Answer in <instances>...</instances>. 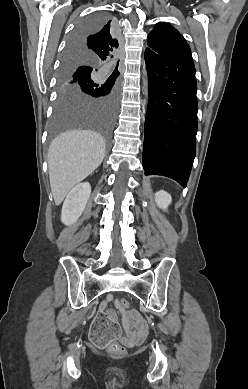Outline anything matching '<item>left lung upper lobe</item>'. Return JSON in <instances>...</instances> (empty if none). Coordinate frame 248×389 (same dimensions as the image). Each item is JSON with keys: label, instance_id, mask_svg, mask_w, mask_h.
I'll list each match as a JSON object with an SVG mask.
<instances>
[{"label": "left lung upper lobe", "instance_id": "left-lung-upper-lobe-1", "mask_svg": "<svg viewBox=\"0 0 248 389\" xmlns=\"http://www.w3.org/2000/svg\"><path fill=\"white\" fill-rule=\"evenodd\" d=\"M149 48L159 54L191 52L183 36L165 22L157 23L147 38Z\"/></svg>", "mask_w": 248, "mask_h": 389}]
</instances>
